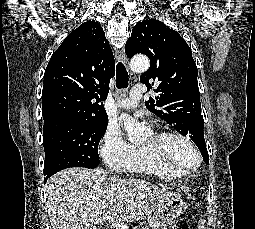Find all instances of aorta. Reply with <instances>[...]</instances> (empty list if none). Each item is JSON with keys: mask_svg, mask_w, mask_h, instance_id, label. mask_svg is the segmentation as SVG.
<instances>
[{"mask_svg": "<svg viewBox=\"0 0 255 229\" xmlns=\"http://www.w3.org/2000/svg\"><path fill=\"white\" fill-rule=\"evenodd\" d=\"M149 66V60L145 56H136L132 58L130 62L131 70L136 73L147 71ZM119 120L124 125L130 142H138L141 140L143 128L134 118H132L129 114L122 113Z\"/></svg>", "mask_w": 255, "mask_h": 229, "instance_id": "obj_1", "label": "aorta"}]
</instances>
